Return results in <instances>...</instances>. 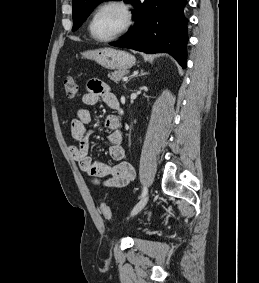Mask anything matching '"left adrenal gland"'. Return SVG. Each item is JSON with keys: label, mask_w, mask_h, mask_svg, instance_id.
<instances>
[{"label": "left adrenal gland", "mask_w": 259, "mask_h": 283, "mask_svg": "<svg viewBox=\"0 0 259 283\" xmlns=\"http://www.w3.org/2000/svg\"><path fill=\"white\" fill-rule=\"evenodd\" d=\"M147 74L148 73L144 72V70L142 69L138 75L132 76L130 79H132L133 77L143 76V75H147Z\"/></svg>", "instance_id": "1"}]
</instances>
